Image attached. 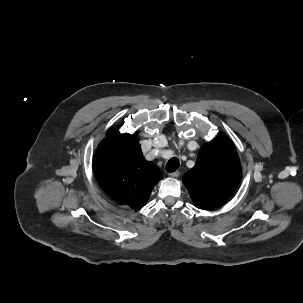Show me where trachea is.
Here are the masks:
<instances>
[{
    "mask_svg": "<svg viewBox=\"0 0 303 303\" xmlns=\"http://www.w3.org/2000/svg\"><path fill=\"white\" fill-rule=\"evenodd\" d=\"M179 164L178 158H171L166 164V171L170 173L175 172L178 169Z\"/></svg>",
    "mask_w": 303,
    "mask_h": 303,
    "instance_id": "trachea-1",
    "label": "trachea"
}]
</instances>
